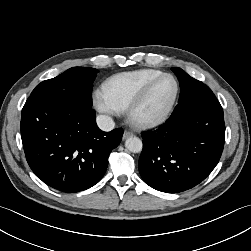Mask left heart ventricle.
Segmentation results:
<instances>
[{
	"label": "left heart ventricle",
	"instance_id": "b2bd125f",
	"mask_svg": "<svg viewBox=\"0 0 251 251\" xmlns=\"http://www.w3.org/2000/svg\"><path fill=\"white\" fill-rule=\"evenodd\" d=\"M174 92L175 83L171 78H164L159 81L139 109V117L152 118L162 113L171 101Z\"/></svg>",
	"mask_w": 251,
	"mask_h": 251
}]
</instances>
